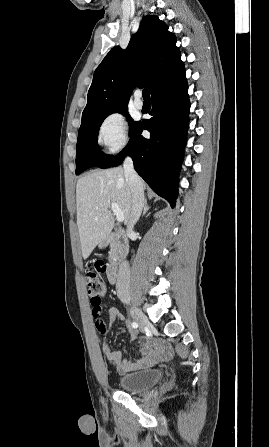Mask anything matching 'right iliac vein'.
<instances>
[{
  "mask_svg": "<svg viewBox=\"0 0 269 447\" xmlns=\"http://www.w3.org/2000/svg\"><path fill=\"white\" fill-rule=\"evenodd\" d=\"M131 316L139 325L141 330H144V327L148 324V318L142 313L138 308L131 306L130 309Z\"/></svg>",
  "mask_w": 269,
  "mask_h": 447,
  "instance_id": "63e3f726",
  "label": "right iliac vein"
}]
</instances>
